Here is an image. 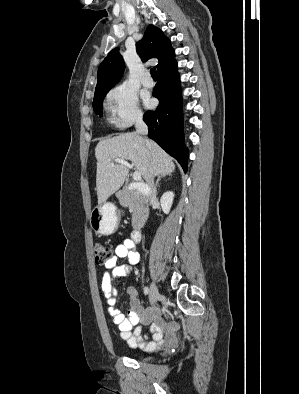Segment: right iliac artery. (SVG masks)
Wrapping results in <instances>:
<instances>
[{
	"label": "right iliac artery",
	"mask_w": 299,
	"mask_h": 394,
	"mask_svg": "<svg viewBox=\"0 0 299 394\" xmlns=\"http://www.w3.org/2000/svg\"><path fill=\"white\" fill-rule=\"evenodd\" d=\"M149 293L148 287H144V294L147 295Z\"/></svg>",
	"instance_id": "1"
}]
</instances>
